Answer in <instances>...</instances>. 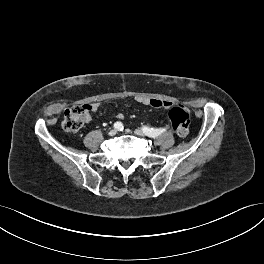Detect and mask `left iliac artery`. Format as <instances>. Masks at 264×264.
<instances>
[{
  "mask_svg": "<svg viewBox=\"0 0 264 264\" xmlns=\"http://www.w3.org/2000/svg\"><path fill=\"white\" fill-rule=\"evenodd\" d=\"M142 130H143V132L150 131L152 133H156V134H158V136L161 135L162 133H164L166 131L165 128L156 129V128H149V127H146V126H144L142 128Z\"/></svg>",
  "mask_w": 264,
  "mask_h": 264,
  "instance_id": "1",
  "label": "left iliac artery"
}]
</instances>
